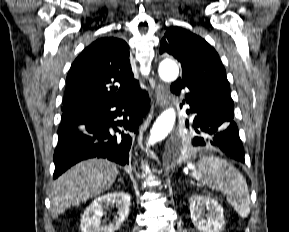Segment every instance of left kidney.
<instances>
[{
    "mask_svg": "<svg viewBox=\"0 0 289 232\" xmlns=\"http://www.w3.org/2000/svg\"><path fill=\"white\" fill-rule=\"evenodd\" d=\"M190 215L200 232H221L225 225L222 206L204 195H192L189 200Z\"/></svg>",
    "mask_w": 289,
    "mask_h": 232,
    "instance_id": "obj_1",
    "label": "left kidney"
}]
</instances>
